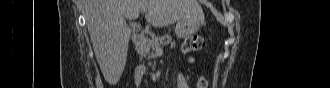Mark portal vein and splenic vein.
<instances>
[{
  "label": "portal vein and splenic vein",
  "mask_w": 330,
  "mask_h": 88,
  "mask_svg": "<svg viewBox=\"0 0 330 88\" xmlns=\"http://www.w3.org/2000/svg\"><path fill=\"white\" fill-rule=\"evenodd\" d=\"M142 11L143 12H146L147 10L146 9H143ZM157 51H161V48L160 47H157Z\"/></svg>",
  "instance_id": "portal-vein-and-splenic-vein-1"
}]
</instances>
